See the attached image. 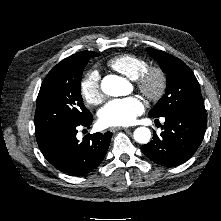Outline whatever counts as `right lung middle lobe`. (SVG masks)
Masks as SVG:
<instances>
[{
	"label": "right lung middle lobe",
	"mask_w": 221,
	"mask_h": 221,
	"mask_svg": "<svg viewBox=\"0 0 221 221\" xmlns=\"http://www.w3.org/2000/svg\"><path fill=\"white\" fill-rule=\"evenodd\" d=\"M94 52L77 62H60L45 77L36 102L35 131L58 125L79 124L91 115L84 106L80 82Z\"/></svg>",
	"instance_id": "dd1d6c3e"
}]
</instances>
